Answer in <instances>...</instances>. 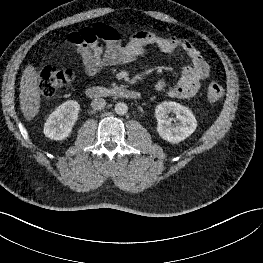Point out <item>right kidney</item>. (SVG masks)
<instances>
[{"label": "right kidney", "mask_w": 263, "mask_h": 263, "mask_svg": "<svg viewBox=\"0 0 263 263\" xmlns=\"http://www.w3.org/2000/svg\"><path fill=\"white\" fill-rule=\"evenodd\" d=\"M79 110L80 105L75 100H68L58 106L46 120L45 136L56 141L67 138L78 119Z\"/></svg>", "instance_id": "obj_1"}]
</instances>
